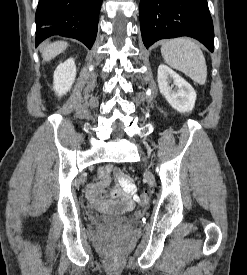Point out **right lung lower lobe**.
Returning <instances> with one entry per match:
<instances>
[{"label":"right lung lower lobe","instance_id":"obj_1","mask_svg":"<svg viewBox=\"0 0 247 275\" xmlns=\"http://www.w3.org/2000/svg\"><path fill=\"white\" fill-rule=\"evenodd\" d=\"M102 0H39L36 47L53 35L75 38L92 47Z\"/></svg>","mask_w":247,"mask_h":275}]
</instances>
